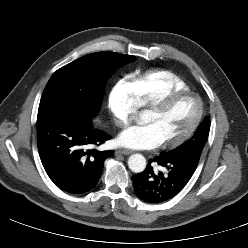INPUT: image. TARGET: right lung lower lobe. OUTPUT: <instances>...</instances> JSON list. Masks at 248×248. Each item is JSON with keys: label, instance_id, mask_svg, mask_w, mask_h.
<instances>
[{"label": "right lung lower lobe", "instance_id": "right-lung-lower-lobe-1", "mask_svg": "<svg viewBox=\"0 0 248 248\" xmlns=\"http://www.w3.org/2000/svg\"><path fill=\"white\" fill-rule=\"evenodd\" d=\"M110 138L93 127L92 117L59 112L37 116L41 162L52 182L67 193L83 194L97 185L104 161L114 151L88 148Z\"/></svg>", "mask_w": 248, "mask_h": 248}]
</instances>
